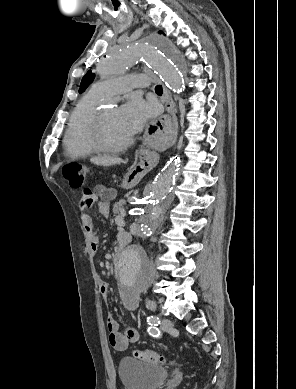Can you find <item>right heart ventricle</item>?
Instances as JSON below:
<instances>
[{
	"label": "right heart ventricle",
	"mask_w": 296,
	"mask_h": 389,
	"mask_svg": "<svg viewBox=\"0 0 296 389\" xmlns=\"http://www.w3.org/2000/svg\"><path fill=\"white\" fill-rule=\"evenodd\" d=\"M101 98L88 92L72 113L63 141L69 157L87 158L97 153L92 142V130Z\"/></svg>",
	"instance_id": "1"
}]
</instances>
